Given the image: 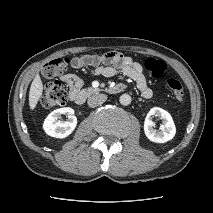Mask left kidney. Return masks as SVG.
<instances>
[{"label": "left kidney", "mask_w": 213, "mask_h": 213, "mask_svg": "<svg viewBox=\"0 0 213 213\" xmlns=\"http://www.w3.org/2000/svg\"><path fill=\"white\" fill-rule=\"evenodd\" d=\"M159 116L163 124L160 126V131L154 129V122L152 121V116ZM144 132L146 137L155 143H165L173 139L176 134V127L172 116L166 110L154 107L148 112L144 121Z\"/></svg>", "instance_id": "left-kidney-1"}]
</instances>
